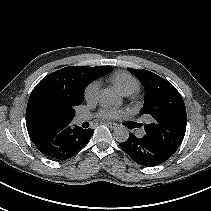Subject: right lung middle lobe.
<instances>
[{
	"mask_svg": "<svg viewBox=\"0 0 211 211\" xmlns=\"http://www.w3.org/2000/svg\"><path fill=\"white\" fill-rule=\"evenodd\" d=\"M83 99L84 97L82 96L80 102L50 109L47 113V117L51 126L71 123L72 118L75 116L74 107L81 104Z\"/></svg>",
	"mask_w": 211,
	"mask_h": 211,
	"instance_id": "right-lung-middle-lobe-1",
	"label": "right lung middle lobe"
}]
</instances>
